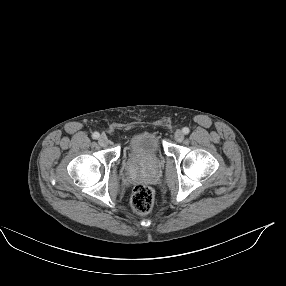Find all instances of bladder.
Masks as SVG:
<instances>
[{"label": "bladder", "mask_w": 286, "mask_h": 286, "mask_svg": "<svg viewBox=\"0 0 286 286\" xmlns=\"http://www.w3.org/2000/svg\"><path fill=\"white\" fill-rule=\"evenodd\" d=\"M163 144L155 131H141L133 136L127 145V158L134 159L143 156H160Z\"/></svg>", "instance_id": "obj_1"}]
</instances>
